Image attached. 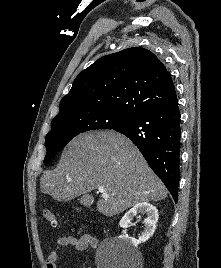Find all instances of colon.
<instances>
[{
	"instance_id": "colon-1",
	"label": "colon",
	"mask_w": 221,
	"mask_h": 268,
	"mask_svg": "<svg viewBox=\"0 0 221 268\" xmlns=\"http://www.w3.org/2000/svg\"><path fill=\"white\" fill-rule=\"evenodd\" d=\"M42 214L45 220H47L53 227L58 226L59 224L58 219L51 210L45 209L43 210Z\"/></svg>"
}]
</instances>
